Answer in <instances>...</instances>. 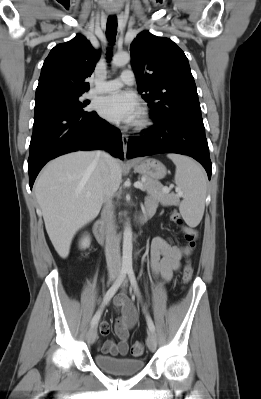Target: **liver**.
Segmentation results:
<instances>
[{
	"label": "liver",
	"instance_id": "6515ba94",
	"mask_svg": "<svg viewBox=\"0 0 261 399\" xmlns=\"http://www.w3.org/2000/svg\"><path fill=\"white\" fill-rule=\"evenodd\" d=\"M122 181L119 161L108 166L99 151H77L49 162L34 192L48 236L61 258L69 255L76 232L92 221L105 200L108 182L116 192Z\"/></svg>",
	"mask_w": 261,
	"mask_h": 399
}]
</instances>
